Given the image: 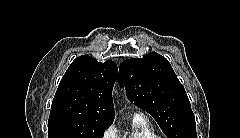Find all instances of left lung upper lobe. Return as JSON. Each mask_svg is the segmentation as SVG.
<instances>
[{
  "mask_svg": "<svg viewBox=\"0 0 240 138\" xmlns=\"http://www.w3.org/2000/svg\"><path fill=\"white\" fill-rule=\"evenodd\" d=\"M119 79L128 99L151 114L168 138H197L189 99L165 57L151 52L125 60Z\"/></svg>",
  "mask_w": 240,
  "mask_h": 138,
  "instance_id": "obj_1",
  "label": "left lung upper lobe"
}]
</instances>
